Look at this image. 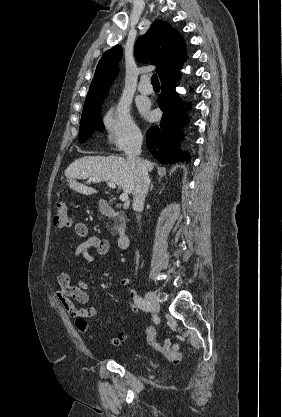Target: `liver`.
Wrapping results in <instances>:
<instances>
[{
    "label": "liver",
    "instance_id": "1",
    "mask_svg": "<svg viewBox=\"0 0 282 417\" xmlns=\"http://www.w3.org/2000/svg\"><path fill=\"white\" fill-rule=\"evenodd\" d=\"M148 170H153L154 162L144 160ZM70 188L82 194L97 192L92 186L77 182L76 178H102L115 182L123 192H133L135 186V164L123 156H81L71 162L65 170Z\"/></svg>",
    "mask_w": 282,
    "mask_h": 417
}]
</instances>
